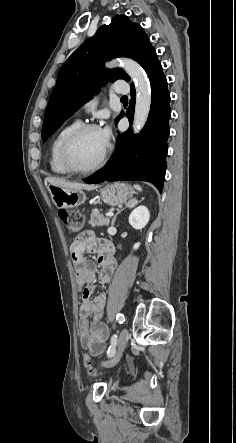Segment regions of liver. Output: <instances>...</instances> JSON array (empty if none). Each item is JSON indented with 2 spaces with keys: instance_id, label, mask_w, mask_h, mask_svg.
<instances>
[{
  "instance_id": "obj_1",
  "label": "liver",
  "mask_w": 236,
  "mask_h": 443,
  "mask_svg": "<svg viewBox=\"0 0 236 443\" xmlns=\"http://www.w3.org/2000/svg\"><path fill=\"white\" fill-rule=\"evenodd\" d=\"M45 181L49 182L50 184L55 185V186L73 189V190H82V189L93 190L95 188L94 185L72 183V182H67V181L59 179V178H52V177L46 178Z\"/></svg>"
}]
</instances>
